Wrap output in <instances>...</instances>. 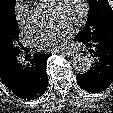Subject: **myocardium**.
<instances>
[{
  "mask_svg": "<svg viewBox=\"0 0 113 113\" xmlns=\"http://www.w3.org/2000/svg\"><path fill=\"white\" fill-rule=\"evenodd\" d=\"M64 2H65V0H55L54 3L52 4V9H54L58 12H61ZM81 3H82L81 14H80L79 18L73 24V26L75 28L81 27L86 22L88 15H89V9H90L89 8V1L88 0H81Z\"/></svg>",
  "mask_w": 113,
  "mask_h": 113,
  "instance_id": "myocardium-1",
  "label": "myocardium"
}]
</instances>
